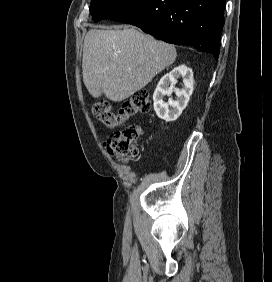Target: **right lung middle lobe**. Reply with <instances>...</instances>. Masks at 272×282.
I'll return each mask as SVG.
<instances>
[{
  "instance_id": "obj_1",
  "label": "right lung middle lobe",
  "mask_w": 272,
  "mask_h": 282,
  "mask_svg": "<svg viewBox=\"0 0 272 282\" xmlns=\"http://www.w3.org/2000/svg\"><path fill=\"white\" fill-rule=\"evenodd\" d=\"M137 0H92L90 13L94 22L110 18L115 13L126 8Z\"/></svg>"
}]
</instances>
